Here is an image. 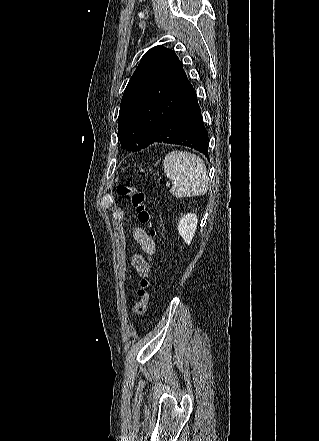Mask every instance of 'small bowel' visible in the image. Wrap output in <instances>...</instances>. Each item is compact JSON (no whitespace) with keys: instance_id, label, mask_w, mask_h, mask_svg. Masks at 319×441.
<instances>
[{"instance_id":"1","label":"small bowel","mask_w":319,"mask_h":441,"mask_svg":"<svg viewBox=\"0 0 319 441\" xmlns=\"http://www.w3.org/2000/svg\"><path fill=\"white\" fill-rule=\"evenodd\" d=\"M134 239L141 246L142 250L146 254H153L155 250V243L151 237L148 236L146 231L138 226H133L132 228ZM132 266L136 269V271L142 275L146 276L147 271L149 269L148 263L145 261L142 255L136 254L133 256L131 261Z\"/></svg>"}]
</instances>
